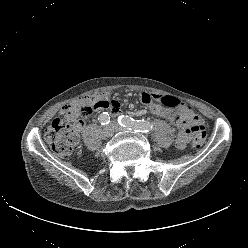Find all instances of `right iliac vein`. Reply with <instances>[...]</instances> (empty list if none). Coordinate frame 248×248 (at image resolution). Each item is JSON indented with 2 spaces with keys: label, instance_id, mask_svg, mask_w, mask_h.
Segmentation results:
<instances>
[{
  "label": "right iliac vein",
  "instance_id": "right-iliac-vein-1",
  "mask_svg": "<svg viewBox=\"0 0 248 248\" xmlns=\"http://www.w3.org/2000/svg\"><path fill=\"white\" fill-rule=\"evenodd\" d=\"M115 130L112 125L105 126L103 129V136L106 138L112 137Z\"/></svg>",
  "mask_w": 248,
  "mask_h": 248
}]
</instances>
